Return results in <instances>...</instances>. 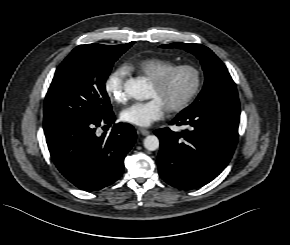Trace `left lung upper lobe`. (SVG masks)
Here are the masks:
<instances>
[{
  "mask_svg": "<svg viewBox=\"0 0 290 245\" xmlns=\"http://www.w3.org/2000/svg\"><path fill=\"white\" fill-rule=\"evenodd\" d=\"M161 48H179L194 54L201 62L205 74V83L196 100L178 115L190 110L212 106L229 112H240L236 85L226 66L207 47L201 44L171 43Z\"/></svg>",
  "mask_w": 290,
  "mask_h": 245,
  "instance_id": "obj_1",
  "label": "left lung upper lobe"
}]
</instances>
